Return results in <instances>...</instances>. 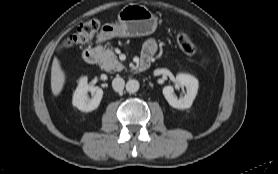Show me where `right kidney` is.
Listing matches in <instances>:
<instances>
[{
  "label": "right kidney",
  "instance_id": "obj_1",
  "mask_svg": "<svg viewBox=\"0 0 278 174\" xmlns=\"http://www.w3.org/2000/svg\"><path fill=\"white\" fill-rule=\"evenodd\" d=\"M88 92L92 97H88ZM103 90L97 86H89L87 84V77H82L79 81L78 87L73 94V105L83 112H90L95 110L102 99Z\"/></svg>",
  "mask_w": 278,
  "mask_h": 174
}]
</instances>
